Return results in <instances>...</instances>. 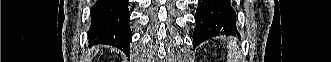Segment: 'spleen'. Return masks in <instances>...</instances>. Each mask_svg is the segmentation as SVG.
<instances>
[{
	"label": "spleen",
	"mask_w": 331,
	"mask_h": 62,
	"mask_svg": "<svg viewBox=\"0 0 331 62\" xmlns=\"http://www.w3.org/2000/svg\"><path fill=\"white\" fill-rule=\"evenodd\" d=\"M239 60H241V51L237 41L231 39L228 42V62H240Z\"/></svg>",
	"instance_id": "spleen-1"
}]
</instances>
